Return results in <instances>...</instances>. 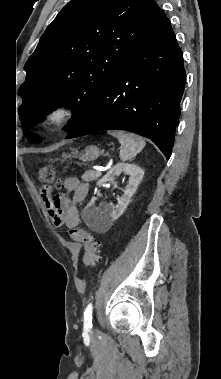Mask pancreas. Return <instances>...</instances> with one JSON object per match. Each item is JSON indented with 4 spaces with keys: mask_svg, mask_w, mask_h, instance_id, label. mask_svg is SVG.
Returning a JSON list of instances; mask_svg holds the SVG:
<instances>
[{
    "mask_svg": "<svg viewBox=\"0 0 221 379\" xmlns=\"http://www.w3.org/2000/svg\"><path fill=\"white\" fill-rule=\"evenodd\" d=\"M100 176H101V172L88 170L82 175V180L86 182H90V181L98 179Z\"/></svg>",
    "mask_w": 221,
    "mask_h": 379,
    "instance_id": "cf45deb5",
    "label": "pancreas"
}]
</instances>
